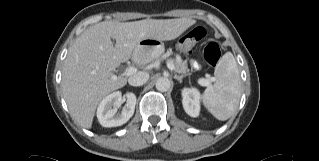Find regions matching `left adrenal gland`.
<instances>
[{"mask_svg": "<svg viewBox=\"0 0 319 161\" xmlns=\"http://www.w3.org/2000/svg\"><path fill=\"white\" fill-rule=\"evenodd\" d=\"M183 77H185L184 75L178 76V75H174V78L177 79L180 83L182 82Z\"/></svg>", "mask_w": 319, "mask_h": 161, "instance_id": "obj_1", "label": "left adrenal gland"}]
</instances>
